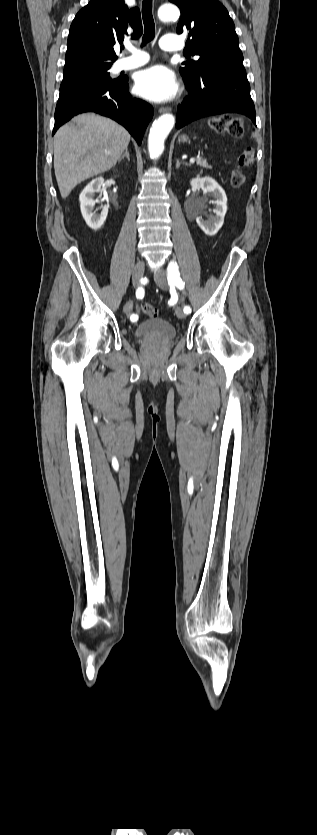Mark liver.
Returning <instances> with one entry per match:
<instances>
[{
    "instance_id": "liver-1",
    "label": "liver",
    "mask_w": 317,
    "mask_h": 835,
    "mask_svg": "<svg viewBox=\"0 0 317 835\" xmlns=\"http://www.w3.org/2000/svg\"><path fill=\"white\" fill-rule=\"evenodd\" d=\"M128 131L115 121L85 113L62 126L54 136V170L65 199L80 182L110 170L130 142Z\"/></svg>"
}]
</instances>
